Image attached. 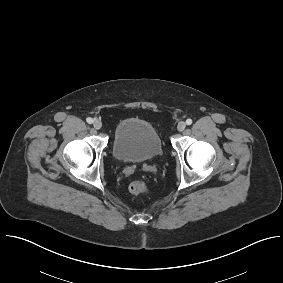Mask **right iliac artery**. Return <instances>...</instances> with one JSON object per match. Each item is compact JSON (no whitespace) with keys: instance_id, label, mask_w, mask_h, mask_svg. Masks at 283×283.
I'll use <instances>...</instances> for the list:
<instances>
[{"instance_id":"1","label":"right iliac artery","mask_w":283,"mask_h":283,"mask_svg":"<svg viewBox=\"0 0 283 283\" xmlns=\"http://www.w3.org/2000/svg\"><path fill=\"white\" fill-rule=\"evenodd\" d=\"M86 121H87V123H89V124H92V123H93V119H92V118H90V117H89V118H87V119H86Z\"/></svg>"}]
</instances>
